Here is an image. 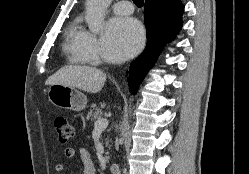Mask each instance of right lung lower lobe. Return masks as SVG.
I'll return each instance as SVG.
<instances>
[{
	"label": "right lung lower lobe",
	"instance_id": "98d812e1",
	"mask_svg": "<svg viewBox=\"0 0 249 174\" xmlns=\"http://www.w3.org/2000/svg\"><path fill=\"white\" fill-rule=\"evenodd\" d=\"M184 6L179 0H145L144 21L147 46L129 68L130 91L136 93L139 83L153 66L165 41L174 39L182 26Z\"/></svg>",
	"mask_w": 249,
	"mask_h": 174
}]
</instances>
